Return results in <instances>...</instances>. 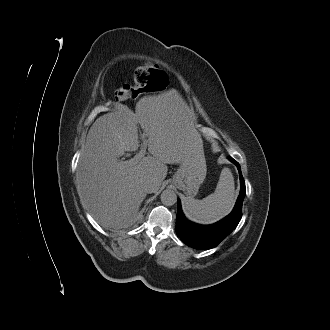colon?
I'll list each match as a JSON object with an SVG mask.
<instances>
[{
	"label": "colon",
	"mask_w": 330,
	"mask_h": 330,
	"mask_svg": "<svg viewBox=\"0 0 330 330\" xmlns=\"http://www.w3.org/2000/svg\"><path fill=\"white\" fill-rule=\"evenodd\" d=\"M166 81V75L158 65L145 63L136 69L132 84H123L116 90V97L120 100H131L141 93L163 88Z\"/></svg>",
	"instance_id": "1"
}]
</instances>
